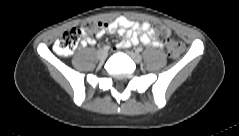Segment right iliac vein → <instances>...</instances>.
<instances>
[{"label":"right iliac vein","instance_id":"63e3f726","mask_svg":"<svg viewBox=\"0 0 239 136\" xmlns=\"http://www.w3.org/2000/svg\"><path fill=\"white\" fill-rule=\"evenodd\" d=\"M107 55H108V51L105 49H100L97 52V56L99 60H105L107 58Z\"/></svg>","mask_w":239,"mask_h":136}]
</instances>
